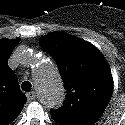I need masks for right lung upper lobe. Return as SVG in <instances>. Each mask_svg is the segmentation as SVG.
<instances>
[{
	"mask_svg": "<svg viewBox=\"0 0 125 125\" xmlns=\"http://www.w3.org/2000/svg\"><path fill=\"white\" fill-rule=\"evenodd\" d=\"M19 42V38L0 40V125L12 123L27 99L20 91L16 74L8 66V58Z\"/></svg>",
	"mask_w": 125,
	"mask_h": 125,
	"instance_id": "obj_1",
	"label": "right lung upper lobe"
}]
</instances>
